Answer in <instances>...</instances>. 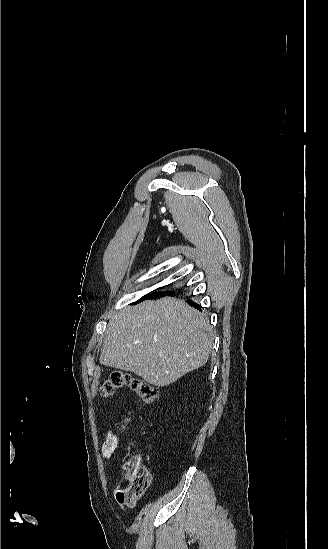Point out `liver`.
<instances>
[{"instance_id": "liver-1", "label": "liver", "mask_w": 328, "mask_h": 549, "mask_svg": "<svg viewBox=\"0 0 328 549\" xmlns=\"http://www.w3.org/2000/svg\"><path fill=\"white\" fill-rule=\"evenodd\" d=\"M212 337L207 317L185 301H144L113 313L99 361L167 387L207 363Z\"/></svg>"}]
</instances>
